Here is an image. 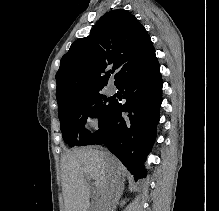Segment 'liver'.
Returning a JSON list of instances; mask_svg holds the SVG:
<instances>
[{"mask_svg":"<svg viewBox=\"0 0 219 211\" xmlns=\"http://www.w3.org/2000/svg\"><path fill=\"white\" fill-rule=\"evenodd\" d=\"M95 179V189L101 199L97 201L96 211H104L106 201L116 189L112 179L124 181L126 169L110 151L100 149H72L62 159V189L66 211H89L90 187L85 175Z\"/></svg>","mask_w":219,"mask_h":211,"instance_id":"obj_1","label":"liver"}]
</instances>
